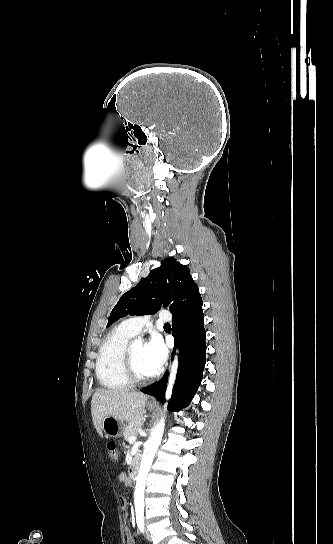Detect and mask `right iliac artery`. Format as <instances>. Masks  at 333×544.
<instances>
[{
    "label": "right iliac artery",
    "mask_w": 333,
    "mask_h": 544,
    "mask_svg": "<svg viewBox=\"0 0 333 544\" xmlns=\"http://www.w3.org/2000/svg\"><path fill=\"white\" fill-rule=\"evenodd\" d=\"M136 521H137L138 529L140 530L141 533H144V515L142 512L136 513Z\"/></svg>",
    "instance_id": "82829eb1"
}]
</instances>
